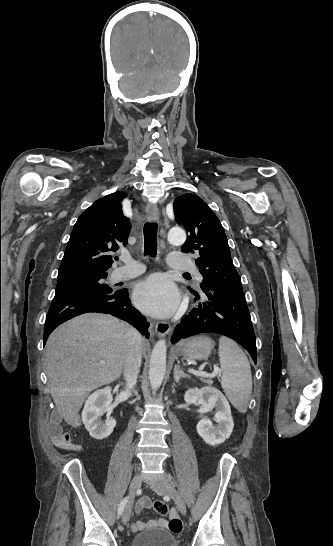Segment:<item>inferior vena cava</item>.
<instances>
[{
  "label": "inferior vena cava",
  "mask_w": 333,
  "mask_h": 546,
  "mask_svg": "<svg viewBox=\"0 0 333 546\" xmlns=\"http://www.w3.org/2000/svg\"><path fill=\"white\" fill-rule=\"evenodd\" d=\"M126 350L124 356L123 374L126 381L125 392L130 394L137 382L142 358V338L134 328H126Z\"/></svg>",
  "instance_id": "602c4592"
}]
</instances>
